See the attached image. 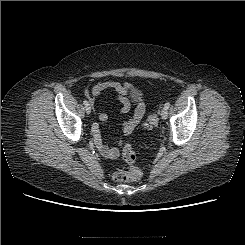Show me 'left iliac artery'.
<instances>
[{
  "label": "left iliac artery",
  "instance_id": "left-iliac-artery-1",
  "mask_svg": "<svg viewBox=\"0 0 245 245\" xmlns=\"http://www.w3.org/2000/svg\"><path fill=\"white\" fill-rule=\"evenodd\" d=\"M169 107H170V102H167V103L165 104V108L168 110Z\"/></svg>",
  "mask_w": 245,
  "mask_h": 245
}]
</instances>
